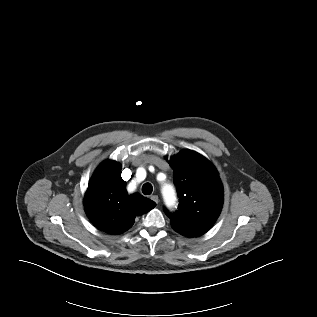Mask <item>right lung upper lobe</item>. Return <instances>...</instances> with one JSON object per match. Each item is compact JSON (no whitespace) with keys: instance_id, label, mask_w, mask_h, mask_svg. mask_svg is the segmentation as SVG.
Masks as SVG:
<instances>
[{"instance_id":"cb5924a9","label":"right lung upper lobe","mask_w":317,"mask_h":317,"mask_svg":"<svg viewBox=\"0 0 317 317\" xmlns=\"http://www.w3.org/2000/svg\"><path fill=\"white\" fill-rule=\"evenodd\" d=\"M120 171L121 165L116 161H104L92 176L84 198L88 218L109 234L127 231L136 216L149 212L156 205L138 193L128 196Z\"/></svg>"}]
</instances>
